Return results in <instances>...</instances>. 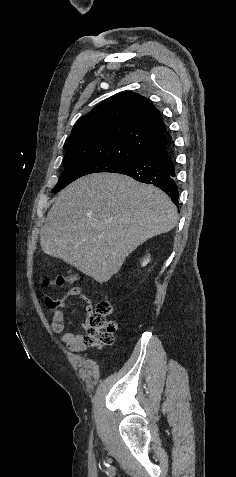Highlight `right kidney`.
<instances>
[{
    "instance_id": "ca27d5eb",
    "label": "right kidney",
    "mask_w": 236,
    "mask_h": 477,
    "mask_svg": "<svg viewBox=\"0 0 236 477\" xmlns=\"http://www.w3.org/2000/svg\"><path fill=\"white\" fill-rule=\"evenodd\" d=\"M150 262V257H147L146 259L143 260L142 266H146Z\"/></svg>"
}]
</instances>
